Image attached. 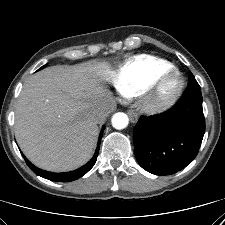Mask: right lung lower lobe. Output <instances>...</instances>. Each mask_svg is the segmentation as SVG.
<instances>
[{
  "label": "right lung lower lobe",
  "mask_w": 225,
  "mask_h": 225,
  "mask_svg": "<svg viewBox=\"0 0 225 225\" xmlns=\"http://www.w3.org/2000/svg\"><path fill=\"white\" fill-rule=\"evenodd\" d=\"M104 129H105V126H103L102 131L100 133L98 146H97L96 152H95L94 156L92 157V159L86 165H84L81 168L76 169L74 171L65 172V173L48 172V171L41 170V169L35 167L28 159L25 158L24 155H23V157H24L27 165L29 166V168L34 173H36L37 175H39L43 178L49 179L51 181H56V182H71V181L77 180L78 178L85 175L94 166V164L97 160V156H98V152H99V148H100V139H101Z\"/></svg>",
  "instance_id": "right-lung-lower-lobe-1"
}]
</instances>
